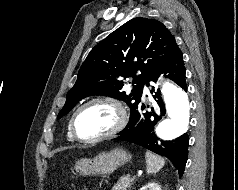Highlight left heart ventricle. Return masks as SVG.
<instances>
[{
	"label": "left heart ventricle",
	"instance_id": "obj_1",
	"mask_svg": "<svg viewBox=\"0 0 238 190\" xmlns=\"http://www.w3.org/2000/svg\"><path fill=\"white\" fill-rule=\"evenodd\" d=\"M116 123L115 111L105 104H93L80 112L76 129L82 137H95L110 130Z\"/></svg>",
	"mask_w": 238,
	"mask_h": 190
}]
</instances>
